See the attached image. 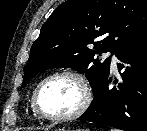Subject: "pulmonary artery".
Returning a JSON list of instances; mask_svg holds the SVG:
<instances>
[{"mask_svg":"<svg viewBox=\"0 0 147 131\" xmlns=\"http://www.w3.org/2000/svg\"><path fill=\"white\" fill-rule=\"evenodd\" d=\"M105 57H110L111 58V68H112V70L115 71L117 69V62H118L116 56L111 52H107L105 54Z\"/></svg>","mask_w":147,"mask_h":131,"instance_id":"pulmonary-artery-1","label":"pulmonary artery"}]
</instances>
